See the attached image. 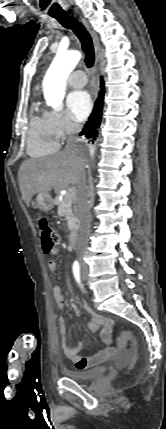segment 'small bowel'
Instances as JSON below:
<instances>
[{
  "instance_id": "small-bowel-1",
  "label": "small bowel",
  "mask_w": 166,
  "mask_h": 429,
  "mask_svg": "<svg viewBox=\"0 0 166 429\" xmlns=\"http://www.w3.org/2000/svg\"><path fill=\"white\" fill-rule=\"evenodd\" d=\"M58 248H53L49 254L56 256L58 254ZM48 270L56 274L57 272V263L54 260L48 262ZM53 298L55 306L58 311H63L66 305V296L63 293L61 286L57 281L54 283L53 287ZM82 306L84 310L90 315L91 319L87 324V329L90 333H97L100 341L105 345V347L97 352L96 354L89 357L80 356V350L82 349L81 344L70 345L67 340V328L66 323L63 318L59 319V328L62 339V349L65 356L73 362L77 369L83 370L90 367L96 366L100 363H103L113 357L117 358H126L132 353V350H126L125 348L115 347L112 345L111 334L113 331V322L112 320L103 317L93 311L89 305L82 301Z\"/></svg>"
}]
</instances>
